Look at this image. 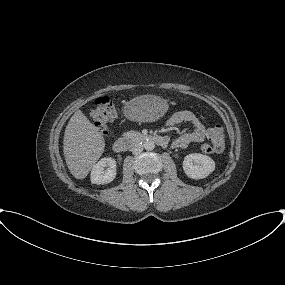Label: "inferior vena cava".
Listing matches in <instances>:
<instances>
[{"label":"inferior vena cava","instance_id":"obj_1","mask_svg":"<svg viewBox=\"0 0 285 285\" xmlns=\"http://www.w3.org/2000/svg\"><path fill=\"white\" fill-rule=\"evenodd\" d=\"M131 151H132V154L138 155V154H140V153L143 151V145H141V144H135V145L132 147Z\"/></svg>","mask_w":285,"mask_h":285}]
</instances>
